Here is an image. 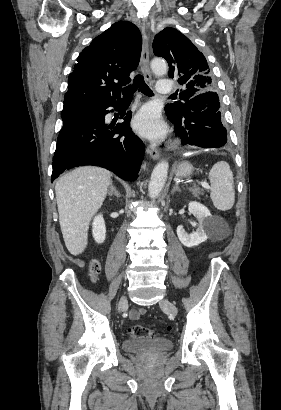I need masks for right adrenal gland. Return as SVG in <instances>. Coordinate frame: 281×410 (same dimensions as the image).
<instances>
[{
    "instance_id": "1",
    "label": "right adrenal gland",
    "mask_w": 281,
    "mask_h": 410,
    "mask_svg": "<svg viewBox=\"0 0 281 410\" xmlns=\"http://www.w3.org/2000/svg\"><path fill=\"white\" fill-rule=\"evenodd\" d=\"M108 195L109 196L115 195L117 197H120V193L117 191V189L115 188V186L112 183L110 185V191L108 192Z\"/></svg>"
}]
</instances>
